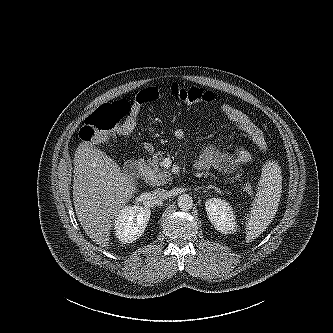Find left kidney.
Returning <instances> with one entry per match:
<instances>
[{"mask_svg":"<svg viewBox=\"0 0 333 333\" xmlns=\"http://www.w3.org/2000/svg\"><path fill=\"white\" fill-rule=\"evenodd\" d=\"M207 216L214 228L223 234L234 233L237 228L230 204L221 198H210L205 202Z\"/></svg>","mask_w":333,"mask_h":333,"instance_id":"5707ae66","label":"left kidney"}]
</instances>
